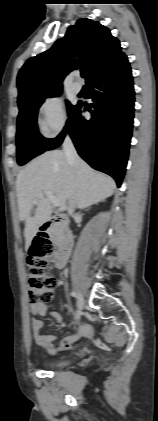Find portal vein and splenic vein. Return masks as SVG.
<instances>
[{"label":"portal vein and splenic vein","instance_id":"obj_1","mask_svg":"<svg viewBox=\"0 0 158 421\" xmlns=\"http://www.w3.org/2000/svg\"><path fill=\"white\" fill-rule=\"evenodd\" d=\"M45 195H46L47 199L53 204V206H55V207L60 206L59 199L56 198L55 195L52 192L46 191ZM34 202H36V201H34Z\"/></svg>","mask_w":158,"mask_h":421}]
</instances>
